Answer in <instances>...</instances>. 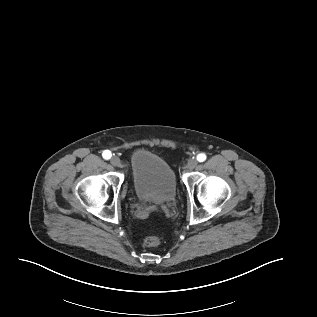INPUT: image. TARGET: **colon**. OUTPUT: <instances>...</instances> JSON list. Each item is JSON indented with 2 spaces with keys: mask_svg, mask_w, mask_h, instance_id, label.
I'll list each match as a JSON object with an SVG mask.
<instances>
[{
  "mask_svg": "<svg viewBox=\"0 0 317 317\" xmlns=\"http://www.w3.org/2000/svg\"><path fill=\"white\" fill-rule=\"evenodd\" d=\"M144 244L148 247H155L160 244V239L157 236H148L144 239Z\"/></svg>",
  "mask_w": 317,
  "mask_h": 317,
  "instance_id": "1",
  "label": "colon"
}]
</instances>
